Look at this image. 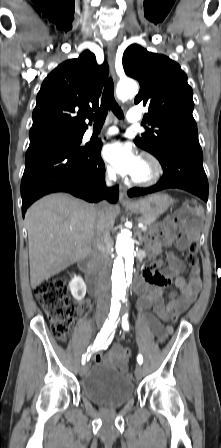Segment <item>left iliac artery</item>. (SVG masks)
<instances>
[{"instance_id": "obj_1", "label": "left iliac artery", "mask_w": 221, "mask_h": 448, "mask_svg": "<svg viewBox=\"0 0 221 448\" xmlns=\"http://www.w3.org/2000/svg\"><path fill=\"white\" fill-rule=\"evenodd\" d=\"M116 317H118V315L116 316ZM122 328L125 330V331H128L129 330V323H128V320H127V315H124L123 317H122ZM137 361H138V363L141 365L142 363H143V357H142V355H138V357H137Z\"/></svg>"}]
</instances>
